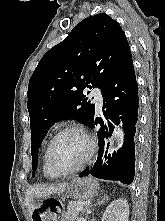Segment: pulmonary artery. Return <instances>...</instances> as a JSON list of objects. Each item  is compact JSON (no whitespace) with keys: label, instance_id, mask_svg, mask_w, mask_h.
Masks as SVG:
<instances>
[{"label":"pulmonary artery","instance_id":"pulmonary-artery-1","mask_svg":"<svg viewBox=\"0 0 165 221\" xmlns=\"http://www.w3.org/2000/svg\"><path fill=\"white\" fill-rule=\"evenodd\" d=\"M94 101L96 105V109L100 111L103 106V96L100 90L96 89L93 91Z\"/></svg>","mask_w":165,"mask_h":221}]
</instances>
